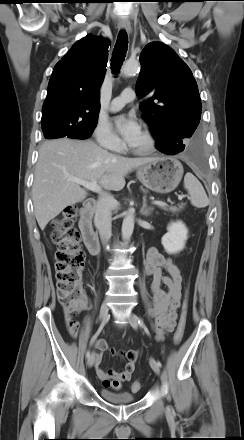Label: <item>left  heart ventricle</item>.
<instances>
[{
  "label": "left heart ventricle",
  "mask_w": 244,
  "mask_h": 440,
  "mask_svg": "<svg viewBox=\"0 0 244 440\" xmlns=\"http://www.w3.org/2000/svg\"><path fill=\"white\" fill-rule=\"evenodd\" d=\"M144 142H145V140H144V137L141 133L140 136L137 138V140L131 146L140 147L144 144Z\"/></svg>",
  "instance_id": "b2bd125f"
}]
</instances>
